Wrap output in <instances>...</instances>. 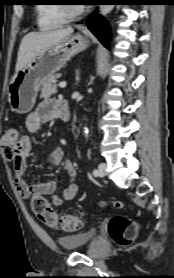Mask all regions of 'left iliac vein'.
I'll use <instances>...</instances> for the list:
<instances>
[{
    "mask_svg": "<svg viewBox=\"0 0 174 278\" xmlns=\"http://www.w3.org/2000/svg\"><path fill=\"white\" fill-rule=\"evenodd\" d=\"M98 176L103 177L106 174V164L105 163H101L98 166Z\"/></svg>",
    "mask_w": 174,
    "mask_h": 278,
    "instance_id": "4c4485c4",
    "label": "left iliac vein"
}]
</instances>
